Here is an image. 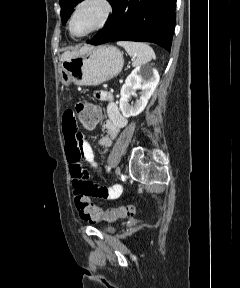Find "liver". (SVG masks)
<instances>
[{
    "instance_id": "6515ba94",
    "label": "liver",
    "mask_w": 240,
    "mask_h": 288,
    "mask_svg": "<svg viewBox=\"0 0 240 288\" xmlns=\"http://www.w3.org/2000/svg\"><path fill=\"white\" fill-rule=\"evenodd\" d=\"M85 49H87V47H82V48L77 49L75 51H66L62 54L61 60L64 61L70 57H73V56L79 54L80 52L84 51Z\"/></svg>"
}]
</instances>
